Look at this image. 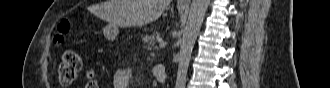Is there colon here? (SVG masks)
I'll return each mask as SVG.
<instances>
[{
  "label": "colon",
  "instance_id": "5ec220e1",
  "mask_svg": "<svg viewBox=\"0 0 330 88\" xmlns=\"http://www.w3.org/2000/svg\"><path fill=\"white\" fill-rule=\"evenodd\" d=\"M58 32L54 37L55 43H62L64 36L70 30V22L68 20H62L58 27ZM83 67L82 57L75 51H66L62 56V61L59 66V78L63 86L72 85L78 78V75ZM91 76V72H88V77ZM88 88H96L97 85L92 80L89 81Z\"/></svg>",
  "mask_w": 330,
  "mask_h": 88
}]
</instances>
